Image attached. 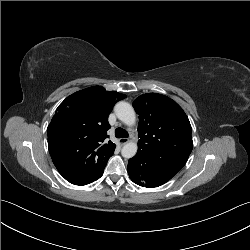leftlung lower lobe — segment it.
<instances>
[{
  "mask_svg": "<svg viewBox=\"0 0 250 250\" xmlns=\"http://www.w3.org/2000/svg\"><path fill=\"white\" fill-rule=\"evenodd\" d=\"M178 171L170 166L152 163L140 151L128 161L129 177L142 187H158L170 180Z\"/></svg>",
  "mask_w": 250,
  "mask_h": 250,
  "instance_id": "left-lung-lower-lobe-1",
  "label": "left lung lower lobe"
}]
</instances>
